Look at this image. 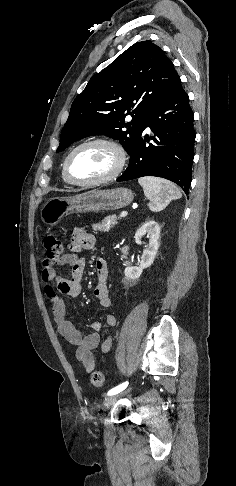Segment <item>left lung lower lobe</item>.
<instances>
[{
    "label": "left lung lower lobe",
    "instance_id": "1",
    "mask_svg": "<svg viewBox=\"0 0 236 486\" xmlns=\"http://www.w3.org/2000/svg\"><path fill=\"white\" fill-rule=\"evenodd\" d=\"M193 115L179 78L152 106L146 118L144 130L151 128L154 143L146 144L150 138L144 134L136 140L129 154V166L117 181L157 176L175 182L188 193L194 158Z\"/></svg>",
    "mask_w": 236,
    "mask_h": 486
}]
</instances>
